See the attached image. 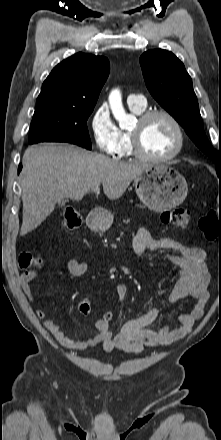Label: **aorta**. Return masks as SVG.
I'll list each match as a JSON object with an SVG mask.
<instances>
[{
  "label": "aorta",
  "instance_id": "1",
  "mask_svg": "<svg viewBox=\"0 0 221 440\" xmlns=\"http://www.w3.org/2000/svg\"><path fill=\"white\" fill-rule=\"evenodd\" d=\"M109 104L114 118L118 121L120 127H126L133 121V116L126 113L119 90H113L109 95Z\"/></svg>",
  "mask_w": 221,
  "mask_h": 440
}]
</instances>
